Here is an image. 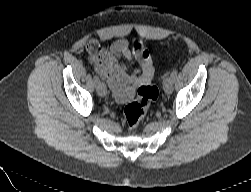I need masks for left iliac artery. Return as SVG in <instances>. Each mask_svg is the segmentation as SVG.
I'll return each instance as SVG.
<instances>
[{"mask_svg": "<svg viewBox=\"0 0 251 192\" xmlns=\"http://www.w3.org/2000/svg\"><path fill=\"white\" fill-rule=\"evenodd\" d=\"M177 73H178V70L175 68L173 69V71L171 72L170 74V77L175 80V78L177 77Z\"/></svg>", "mask_w": 251, "mask_h": 192, "instance_id": "44dca946", "label": "left iliac artery"}]
</instances>
